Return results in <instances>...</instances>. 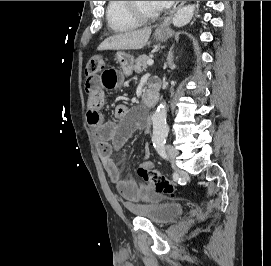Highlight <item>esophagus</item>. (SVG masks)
Instances as JSON below:
<instances>
[{"mask_svg":"<svg viewBox=\"0 0 271 266\" xmlns=\"http://www.w3.org/2000/svg\"><path fill=\"white\" fill-rule=\"evenodd\" d=\"M186 1H177L175 6L173 7V9L171 10V12L169 13V15L164 19V21L162 22V24L156 29L157 32H164L165 30H167V28L169 27L173 15L174 13L181 7L184 5Z\"/></svg>","mask_w":271,"mask_h":266,"instance_id":"obj_1","label":"esophagus"}]
</instances>
